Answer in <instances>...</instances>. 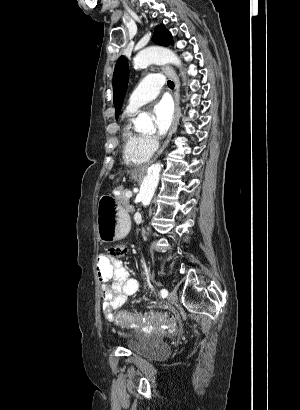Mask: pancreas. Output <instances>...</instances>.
<instances>
[{"label":"pancreas","instance_id":"pancreas-1","mask_svg":"<svg viewBox=\"0 0 300 410\" xmlns=\"http://www.w3.org/2000/svg\"><path fill=\"white\" fill-rule=\"evenodd\" d=\"M125 194L126 191H121V194L116 196V199L127 211L134 212V207L130 205V199Z\"/></svg>","mask_w":300,"mask_h":410}]
</instances>
